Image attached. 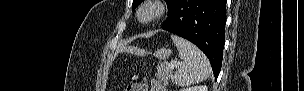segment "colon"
Returning a JSON list of instances; mask_svg holds the SVG:
<instances>
[{
    "label": "colon",
    "instance_id": "colon-1",
    "mask_svg": "<svg viewBox=\"0 0 304 91\" xmlns=\"http://www.w3.org/2000/svg\"><path fill=\"white\" fill-rule=\"evenodd\" d=\"M131 91H144L147 90L145 82L139 79H134L133 83L127 88Z\"/></svg>",
    "mask_w": 304,
    "mask_h": 91
}]
</instances>
